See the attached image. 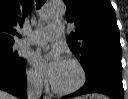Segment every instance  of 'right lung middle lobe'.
Here are the masks:
<instances>
[{"mask_svg": "<svg viewBox=\"0 0 128 99\" xmlns=\"http://www.w3.org/2000/svg\"><path fill=\"white\" fill-rule=\"evenodd\" d=\"M13 43H0V67L15 70L24 63V59L18 56L12 49Z\"/></svg>", "mask_w": 128, "mask_h": 99, "instance_id": "1", "label": "right lung middle lobe"}]
</instances>
